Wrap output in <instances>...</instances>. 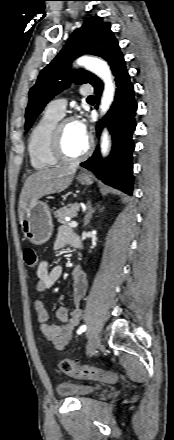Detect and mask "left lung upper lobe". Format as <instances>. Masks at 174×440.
Masks as SVG:
<instances>
[{
	"instance_id": "1",
	"label": "left lung upper lobe",
	"mask_w": 174,
	"mask_h": 440,
	"mask_svg": "<svg viewBox=\"0 0 174 440\" xmlns=\"http://www.w3.org/2000/svg\"><path fill=\"white\" fill-rule=\"evenodd\" d=\"M110 27V23L104 22L100 17L86 19L82 27L72 33L54 60L40 72L36 84L29 92V104L25 114L26 130L31 127L45 105L70 85L68 74L72 60L88 53L98 55L109 63L120 52L118 41ZM71 80L77 84L95 85L99 78L81 69L72 75Z\"/></svg>"
}]
</instances>
